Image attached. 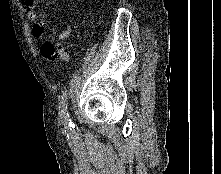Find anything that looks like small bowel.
<instances>
[{
  "label": "small bowel",
  "instance_id": "obj_1",
  "mask_svg": "<svg viewBox=\"0 0 221 174\" xmlns=\"http://www.w3.org/2000/svg\"><path fill=\"white\" fill-rule=\"evenodd\" d=\"M37 0H22V5L25 10L26 17L28 20L36 22L38 21V14L36 11ZM34 33L37 37H43L44 26L41 22H37L33 27ZM71 32L69 25L65 26L64 29L58 34L57 42L45 40L40 48L41 54L49 61H54L57 57L61 60L68 62L70 61V55L65 50L64 45L61 43L62 40L66 39Z\"/></svg>",
  "mask_w": 221,
  "mask_h": 174
}]
</instances>
